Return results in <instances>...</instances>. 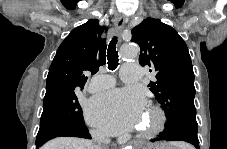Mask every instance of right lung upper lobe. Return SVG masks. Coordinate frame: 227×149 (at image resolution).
Listing matches in <instances>:
<instances>
[{"mask_svg": "<svg viewBox=\"0 0 227 149\" xmlns=\"http://www.w3.org/2000/svg\"><path fill=\"white\" fill-rule=\"evenodd\" d=\"M103 29L97 19H91L70 32L50 65L46 90L84 87L85 72L94 74L106 62V41L101 38Z\"/></svg>", "mask_w": 227, "mask_h": 149, "instance_id": "right-lung-upper-lobe-1", "label": "right lung upper lobe"}]
</instances>
